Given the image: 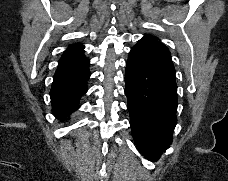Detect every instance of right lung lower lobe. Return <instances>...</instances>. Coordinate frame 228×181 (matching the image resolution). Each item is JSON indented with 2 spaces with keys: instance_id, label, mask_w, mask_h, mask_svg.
<instances>
[{
  "instance_id": "1",
  "label": "right lung lower lobe",
  "mask_w": 228,
  "mask_h": 181,
  "mask_svg": "<svg viewBox=\"0 0 228 181\" xmlns=\"http://www.w3.org/2000/svg\"><path fill=\"white\" fill-rule=\"evenodd\" d=\"M83 48L63 54L53 78L52 113L60 120L67 119L78 108L81 96L87 91L89 60L84 56Z\"/></svg>"
}]
</instances>
